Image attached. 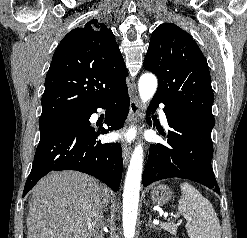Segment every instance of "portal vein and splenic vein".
I'll use <instances>...</instances> for the list:
<instances>
[{
    "label": "portal vein and splenic vein",
    "mask_w": 247,
    "mask_h": 238,
    "mask_svg": "<svg viewBox=\"0 0 247 238\" xmlns=\"http://www.w3.org/2000/svg\"><path fill=\"white\" fill-rule=\"evenodd\" d=\"M174 217H175V218H178V217H179V215H175ZM157 224H158V222H157Z\"/></svg>",
    "instance_id": "1"
}]
</instances>
